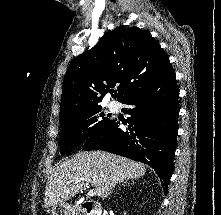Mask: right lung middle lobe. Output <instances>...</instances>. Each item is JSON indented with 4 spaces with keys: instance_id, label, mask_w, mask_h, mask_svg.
<instances>
[{
    "instance_id": "1",
    "label": "right lung middle lobe",
    "mask_w": 221,
    "mask_h": 215,
    "mask_svg": "<svg viewBox=\"0 0 221 215\" xmlns=\"http://www.w3.org/2000/svg\"><path fill=\"white\" fill-rule=\"evenodd\" d=\"M102 112L101 107L85 110L67 117L61 123L60 150L62 155L68 154L85 139L96 133L111 120Z\"/></svg>"
}]
</instances>
